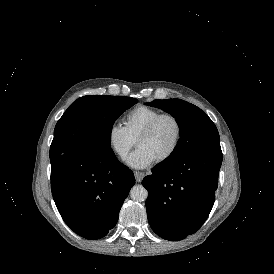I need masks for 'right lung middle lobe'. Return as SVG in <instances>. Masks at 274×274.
I'll use <instances>...</instances> for the list:
<instances>
[{
    "label": "right lung middle lobe",
    "instance_id": "1",
    "mask_svg": "<svg viewBox=\"0 0 274 274\" xmlns=\"http://www.w3.org/2000/svg\"><path fill=\"white\" fill-rule=\"evenodd\" d=\"M137 102L131 97L90 95L74 101L56 124L50 162L64 154L112 150L114 122Z\"/></svg>",
    "mask_w": 274,
    "mask_h": 274
}]
</instances>
